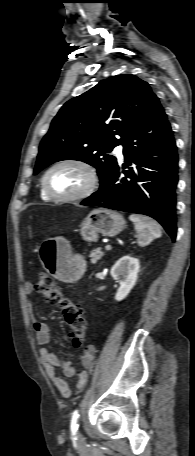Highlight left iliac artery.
<instances>
[{
	"instance_id": "1",
	"label": "left iliac artery",
	"mask_w": 195,
	"mask_h": 456,
	"mask_svg": "<svg viewBox=\"0 0 195 456\" xmlns=\"http://www.w3.org/2000/svg\"><path fill=\"white\" fill-rule=\"evenodd\" d=\"M78 416H79L78 411L75 410L73 412L72 418H71V432L73 435H75L78 430V424H77Z\"/></svg>"
}]
</instances>
